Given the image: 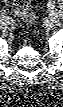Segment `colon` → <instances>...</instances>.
<instances>
[{
  "instance_id": "obj_1",
  "label": "colon",
  "mask_w": 63,
  "mask_h": 107,
  "mask_svg": "<svg viewBox=\"0 0 63 107\" xmlns=\"http://www.w3.org/2000/svg\"><path fill=\"white\" fill-rule=\"evenodd\" d=\"M13 7L17 14L26 19L29 23L34 21V16L30 7V2L26 0H14Z\"/></svg>"
}]
</instances>
